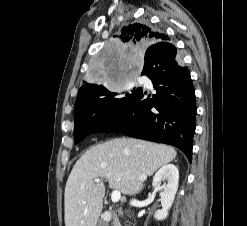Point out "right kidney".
Listing matches in <instances>:
<instances>
[{"mask_svg": "<svg viewBox=\"0 0 247 226\" xmlns=\"http://www.w3.org/2000/svg\"><path fill=\"white\" fill-rule=\"evenodd\" d=\"M166 180L167 184L161 186V181ZM179 182L178 168L173 164H167L161 167L153 177L152 186L156 191L160 192L162 209L154 214L156 220H164L168 216Z\"/></svg>", "mask_w": 247, "mask_h": 226, "instance_id": "ca27d5eb", "label": "right kidney"}]
</instances>
